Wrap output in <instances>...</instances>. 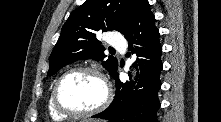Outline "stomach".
<instances>
[{"instance_id":"stomach-1","label":"stomach","mask_w":221,"mask_h":122,"mask_svg":"<svg viewBox=\"0 0 221 122\" xmlns=\"http://www.w3.org/2000/svg\"><path fill=\"white\" fill-rule=\"evenodd\" d=\"M80 122H100V121L94 120V119H86V120H83V121H80Z\"/></svg>"}]
</instances>
